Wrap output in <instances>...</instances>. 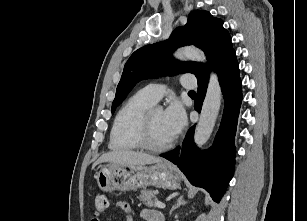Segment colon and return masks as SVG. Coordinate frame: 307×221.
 Returning <instances> with one entry per match:
<instances>
[{"label": "colon", "mask_w": 307, "mask_h": 221, "mask_svg": "<svg viewBox=\"0 0 307 221\" xmlns=\"http://www.w3.org/2000/svg\"><path fill=\"white\" fill-rule=\"evenodd\" d=\"M109 202L104 194H99L96 196L94 201V212L95 215L99 216L103 214L108 208Z\"/></svg>", "instance_id": "obj_1"}]
</instances>
